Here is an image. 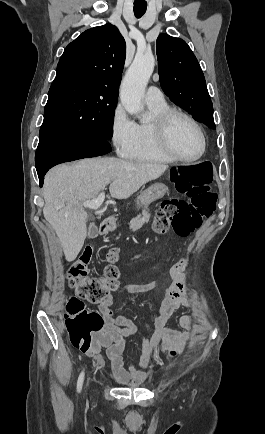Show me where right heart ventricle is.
Masks as SVG:
<instances>
[{
  "mask_svg": "<svg viewBox=\"0 0 265 434\" xmlns=\"http://www.w3.org/2000/svg\"><path fill=\"white\" fill-rule=\"evenodd\" d=\"M147 106L152 115L151 120L138 125L137 144L128 160L148 164H171L174 160L162 149L157 128L159 117L170 107L164 100Z\"/></svg>",
  "mask_w": 265,
  "mask_h": 434,
  "instance_id": "right-heart-ventricle-1",
  "label": "right heart ventricle"
}]
</instances>
